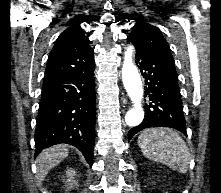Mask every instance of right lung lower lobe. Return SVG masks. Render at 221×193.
Segmentation results:
<instances>
[{
  "mask_svg": "<svg viewBox=\"0 0 221 193\" xmlns=\"http://www.w3.org/2000/svg\"><path fill=\"white\" fill-rule=\"evenodd\" d=\"M93 62L87 68L44 81L34 135L39 154L44 148L67 143L93 164L96 94Z\"/></svg>",
  "mask_w": 221,
  "mask_h": 193,
  "instance_id": "right-lung-lower-lobe-1",
  "label": "right lung lower lobe"
}]
</instances>
